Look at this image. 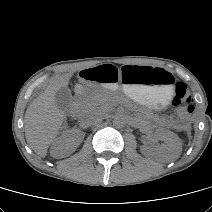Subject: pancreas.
<instances>
[{
	"label": "pancreas",
	"instance_id": "pancreas-1",
	"mask_svg": "<svg viewBox=\"0 0 212 212\" xmlns=\"http://www.w3.org/2000/svg\"><path fill=\"white\" fill-rule=\"evenodd\" d=\"M78 102L83 111L94 109L100 105L102 109H107L115 104L112 99L104 98L99 93H92L88 96L80 97Z\"/></svg>",
	"mask_w": 212,
	"mask_h": 212
}]
</instances>
